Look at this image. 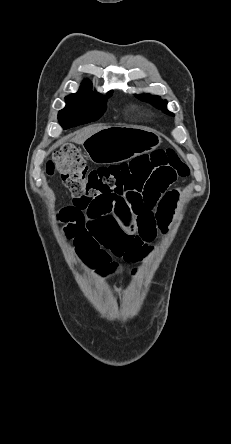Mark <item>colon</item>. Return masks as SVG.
<instances>
[{"mask_svg":"<svg viewBox=\"0 0 231 444\" xmlns=\"http://www.w3.org/2000/svg\"><path fill=\"white\" fill-rule=\"evenodd\" d=\"M61 173L74 200L125 198L135 206L146 198L152 186L167 187L189 174L188 166L172 149L157 150L128 163L90 170L81 153L72 145L57 151L46 172Z\"/></svg>","mask_w":231,"mask_h":444,"instance_id":"obj_1","label":"colon"}]
</instances>
